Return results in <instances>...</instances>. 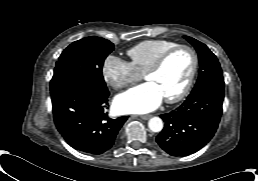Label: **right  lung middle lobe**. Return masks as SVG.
I'll return each mask as SVG.
<instances>
[{
	"instance_id": "obj_1",
	"label": "right lung middle lobe",
	"mask_w": 258,
	"mask_h": 181,
	"mask_svg": "<svg viewBox=\"0 0 258 181\" xmlns=\"http://www.w3.org/2000/svg\"><path fill=\"white\" fill-rule=\"evenodd\" d=\"M114 45L101 37H86L70 44L60 55L53 77L71 79L92 92L107 96L102 76L105 58Z\"/></svg>"
}]
</instances>
